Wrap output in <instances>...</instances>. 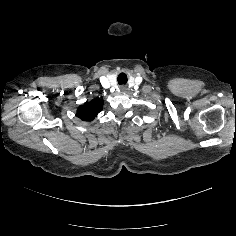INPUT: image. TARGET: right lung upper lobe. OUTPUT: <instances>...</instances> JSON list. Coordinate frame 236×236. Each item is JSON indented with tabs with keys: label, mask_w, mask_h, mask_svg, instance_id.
<instances>
[{
	"label": "right lung upper lobe",
	"mask_w": 236,
	"mask_h": 236,
	"mask_svg": "<svg viewBox=\"0 0 236 236\" xmlns=\"http://www.w3.org/2000/svg\"><path fill=\"white\" fill-rule=\"evenodd\" d=\"M102 109L103 101L99 98H94L78 108L77 116L81 120L89 122L92 121Z\"/></svg>",
	"instance_id": "1"
}]
</instances>
